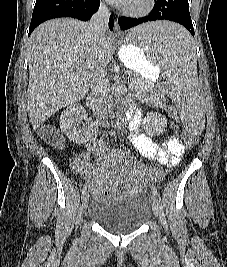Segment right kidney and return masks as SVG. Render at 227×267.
<instances>
[{
    "instance_id": "right-kidney-1",
    "label": "right kidney",
    "mask_w": 227,
    "mask_h": 267,
    "mask_svg": "<svg viewBox=\"0 0 227 267\" xmlns=\"http://www.w3.org/2000/svg\"><path fill=\"white\" fill-rule=\"evenodd\" d=\"M94 122L79 104H71L60 115V128L69 140L84 144L92 137Z\"/></svg>"
}]
</instances>
